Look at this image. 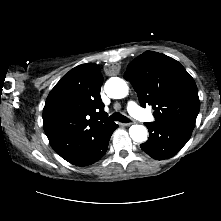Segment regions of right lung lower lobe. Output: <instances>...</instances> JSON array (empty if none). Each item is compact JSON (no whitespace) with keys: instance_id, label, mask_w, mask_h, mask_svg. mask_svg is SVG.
<instances>
[{"instance_id":"1","label":"right lung lower lobe","mask_w":221,"mask_h":221,"mask_svg":"<svg viewBox=\"0 0 221 221\" xmlns=\"http://www.w3.org/2000/svg\"><path fill=\"white\" fill-rule=\"evenodd\" d=\"M117 127L118 125L113 123L105 131L101 132L88 148L68 162L78 166H87L99 160L105 155L110 137Z\"/></svg>"}]
</instances>
